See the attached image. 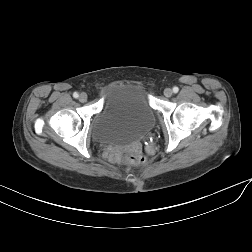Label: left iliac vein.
I'll use <instances>...</instances> for the list:
<instances>
[{
  "label": "left iliac vein",
  "mask_w": 252,
  "mask_h": 252,
  "mask_svg": "<svg viewBox=\"0 0 252 252\" xmlns=\"http://www.w3.org/2000/svg\"><path fill=\"white\" fill-rule=\"evenodd\" d=\"M172 94H173L172 89L166 88V89L164 90V95H165L166 97H171Z\"/></svg>",
  "instance_id": "obj_1"
}]
</instances>
